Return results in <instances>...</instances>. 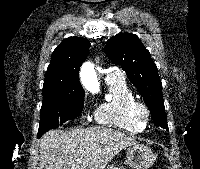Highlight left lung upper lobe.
I'll return each instance as SVG.
<instances>
[{
    "label": "left lung upper lobe",
    "instance_id": "5c2ea615",
    "mask_svg": "<svg viewBox=\"0 0 200 169\" xmlns=\"http://www.w3.org/2000/svg\"><path fill=\"white\" fill-rule=\"evenodd\" d=\"M106 54L114 64L121 65L126 72L143 97L155 125L168 130L162 83L157 67L138 36L121 33L111 37L107 40Z\"/></svg>",
    "mask_w": 200,
    "mask_h": 169
}]
</instances>
